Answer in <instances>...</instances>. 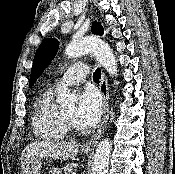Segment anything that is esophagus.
Masks as SVG:
<instances>
[{
  "label": "esophagus",
  "mask_w": 175,
  "mask_h": 174,
  "mask_svg": "<svg viewBox=\"0 0 175 174\" xmlns=\"http://www.w3.org/2000/svg\"><path fill=\"white\" fill-rule=\"evenodd\" d=\"M108 82H107V77L105 75V73L102 71L101 73V82H100V91L103 95V104H104V114H103V119L101 122V125L99 127V129L97 130V132L92 136V138L90 140H88L87 142H85L82 145L83 149L86 150H92L95 148V146L97 145L100 137L102 136L107 121H108V117H109V91H108Z\"/></svg>",
  "instance_id": "esophagus-1"
}]
</instances>
